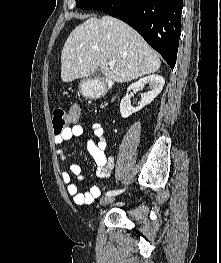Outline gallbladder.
I'll return each mask as SVG.
<instances>
[{"instance_id":"obj_1","label":"gallbladder","mask_w":221,"mask_h":263,"mask_svg":"<svg viewBox=\"0 0 221 263\" xmlns=\"http://www.w3.org/2000/svg\"><path fill=\"white\" fill-rule=\"evenodd\" d=\"M101 76V70L97 69L94 73H93V78L97 79L100 78Z\"/></svg>"}]
</instances>
